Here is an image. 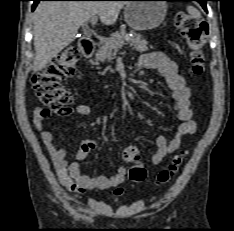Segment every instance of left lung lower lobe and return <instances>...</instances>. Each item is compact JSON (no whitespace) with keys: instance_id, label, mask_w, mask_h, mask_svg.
Instances as JSON below:
<instances>
[{"instance_id":"0a47b994","label":"left lung lower lobe","mask_w":234,"mask_h":231,"mask_svg":"<svg viewBox=\"0 0 234 231\" xmlns=\"http://www.w3.org/2000/svg\"><path fill=\"white\" fill-rule=\"evenodd\" d=\"M167 1H197V2H199L202 5V7L204 8V10L207 11L206 1H210V0H167Z\"/></svg>"}]
</instances>
